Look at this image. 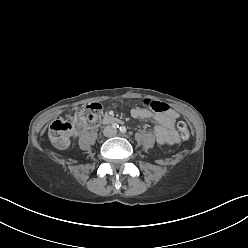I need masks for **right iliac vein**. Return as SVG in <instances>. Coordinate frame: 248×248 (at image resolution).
I'll return each instance as SVG.
<instances>
[{"instance_id": "obj_1", "label": "right iliac vein", "mask_w": 248, "mask_h": 248, "mask_svg": "<svg viewBox=\"0 0 248 248\" xmlns=\"http://www.w3.org/2000/svg\"><path fill=\"white\" fill-rule=\"evenodd\" d=\"M104 135L105 136H109L110 134H109V132H105Z\"/></svg>"}]
</instances>
